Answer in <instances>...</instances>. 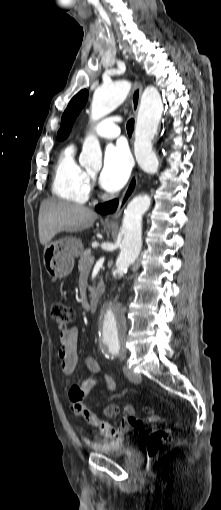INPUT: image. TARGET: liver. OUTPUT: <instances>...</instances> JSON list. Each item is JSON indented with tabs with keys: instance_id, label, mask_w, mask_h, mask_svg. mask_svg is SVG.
<instances>
[{
	"instance_id": "obj_1",
	"label": "liver",
	"mask_w": 221,
	"mask_h": 510,
	"mask_svg": "<svg viewBox=\"0 0 221 510\" xmlns=\"http://www.w3.org/2000/svg\"><path fill=\"white\" fill-rule=\"evenodd\" d=\"M97 218V213L87 207L56 199L44 200L38 217L40 243L47 245L60 232L87 229Z\"/></svg>"
}]
</instances>
